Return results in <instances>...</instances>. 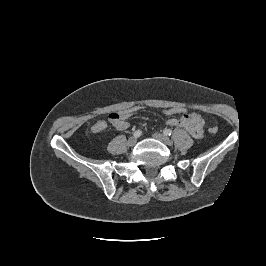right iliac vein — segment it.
Here are the masks:
<instances>
[{
	"mask_svg": "<svg viewBox=\"0 0 266 266\" xmlns=\"http://www.w3.org/2000/svg\"><path fill=\"white\" fill-rule=\"evenodd\" d=\"M137 142V137L132 136L128 139L127 144L128 146H134Z\"/></svg>",
	"mask_w": 266,
	"mask_h": 266,
	"instance_id": "63e3f726",
	"label": "right iliac vein"
}]
</instances>
